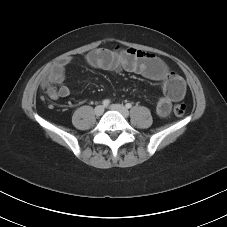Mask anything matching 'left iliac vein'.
<instances>
[{"mask_svg": "<svg viewBox=\"0 0 227 227\" xmlns=\"http://www.w3.org/2000/svg\"><path fill=\"white\" fill-rule=\"evenodd\" d=\"M112 110L118 111L123 117H128L129 111L123 105L120 104H112L109 107Z\"/></svg>", "mask_w": 227, "mask_h": 227, "instance_id": "obj_1", "label": "left iliac vein"}]
</instances>
